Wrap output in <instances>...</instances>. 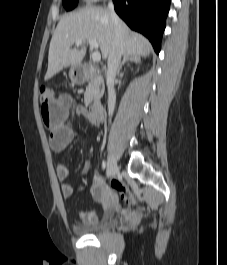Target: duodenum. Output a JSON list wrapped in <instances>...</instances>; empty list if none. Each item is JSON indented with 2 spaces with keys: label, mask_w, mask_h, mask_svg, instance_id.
<instances>
[{
  "label": "duodenum",
  "mask_w": 227,
  "mask_h": 265,
  "mask_svg": "<svg viewBox=\"0 0 227 265\" xmlns=\"http://www.w3.org/2000/svg\"><path fill=\"white\" fill-rule=\"evenodd\" d=\"M91 68L87 65L82 66L76 76L77 81L83 82L86 80ZM89 112L91 116L97 120L101 121L104 117V109L100 101L95 100L94 102L91 103L89 107Z\"/></svg>",
  "instance_id": "duodenum-1"
}]
</instances>
